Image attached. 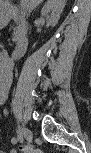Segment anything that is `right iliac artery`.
Here are the masks:
<instances>
[{
  "instance_id": "obj_1",
  "label": "right iliac artery",
  "mask_w": 91,
  "mask_h": 153,
  "mask_svg": "<svg viewBox=\"0 0 91 153\" xmlns=\"http://www.w3.org/2000/svg\"><path fill=\"white\" fill-rule=\"evenodd\" d=\"M17 138H18L19 142H23V141H24L23 135H22V133L20 132V129H19V131H18Z\"/></svg>"
}]
</instances>
